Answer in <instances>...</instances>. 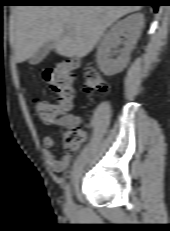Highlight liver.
Wrapping results in <instances>:
<instances>
[{"instance_id":"1","label":"liver","mask_w":170,"mask_h":231,"mask_svg":"<svg viewBox=\"0 0 170 231\" xmlns=\"http://www.w3.org/2000/svg\"><path fill=\"white\" fill-rule=\"evenodd\" d=\"M139 10V5L16 6L10 20L15 59L26 61L48 41L54 42L55 52L61 56L83 58L109 26Z\"/></svg>"}]
</instances>
